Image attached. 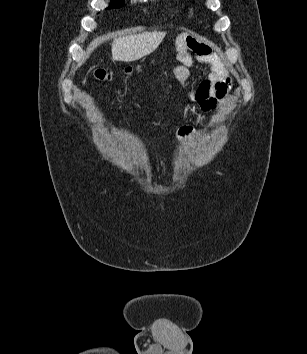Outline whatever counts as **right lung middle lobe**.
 <instances>
[{"label":"right lung middle lobe","mask_w":307,"mask_h":354,"mask_svg":"<svg viewBox=\"0 0 307 354\" xmlns=\"http://www.w3.org/2000/svg\"><path fill=\"white\" fill-rule=\"evenodd\" d=\"M123 3H124V0H112L108 9L121 7L123 5Z\"/></svg>","instance_id":"right-lung-middle-lobe-1"}]
</instances>
